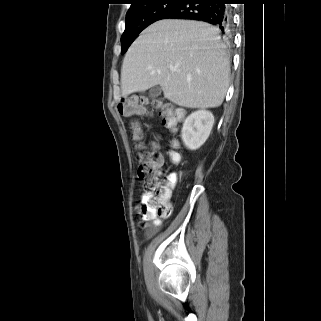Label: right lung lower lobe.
Returning <instances> with one entry per match:
<instances>
[{
  "label": "right lung lower lobe",
  "mask_w": 321,
  "mask_h": 321,
  "mask_svg": "<svg viewBox=\"0 0 321 321\" xmlns=\"http://www.w3.org/2000/svg\"><path fill=\"white\" fill-rule=\"evenodd\" d=\"M230 0H180L160 19H191L208 22L227 32L231 26ZM159 19V20H160Z\"/></svg>",
  "instance_id": "1"
}]
</instances>
